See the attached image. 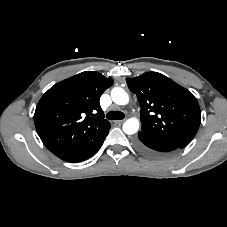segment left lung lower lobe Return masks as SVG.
Returning <instances> with one entry per match:
<instances>
[{"mask_svg": "<svg viewBox=\"0 0 227 227\" xmlns=\"http://www.w3.org/2000/svg\"><path fill=\"white\" fill-rule=\"evenodd\" d=\"M135 145L139 151L154 158L164 157L179 148L173 143L147 137L140 133H138Z\"/></svg>", "mask_w": 227, "mask_h": 227, "instance_id": "left-lung-lower-lobe-1", "label": "left lung lower lobe"}]
</instances>
